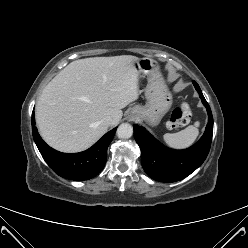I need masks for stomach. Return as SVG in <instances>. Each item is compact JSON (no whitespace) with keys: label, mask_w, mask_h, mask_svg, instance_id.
I'll return each mask as SVG.
<instances>
[{"label":"stomach","mask_w":248,"mask_h":248,"mask_svg":"<svg viewBox=\"0 0 248 248\" xmlns=\"http://www.w3.org/2000/svg\"><path fill=\"white\" fill-rule=\"evenodd\" d=\"M134 67L139 73L148 75V85L145 90L147 103L145 106L133 107L131 114L151 126H156L171 108L172 95L164 83L159 66L154 59L139 58L134 62Z\"/></svg>","instance_id":"0dacf381"}]
</instances>
